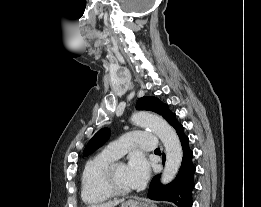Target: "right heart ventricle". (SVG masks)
I'll return each instance as SVG.
<instances>
[{
    "label": "right heart ventricle",
    "instance_id": "e07e8e85",
    "mask_svg": "<svg viewBox=\"0 0 261 207\" xmlns=\"http://www.w3.org/2000/svg\"><path fill=\"white\" fill-rule=\"evenodd\" d=\"M116 159L102 151L86 162L81 174V197L85 203L94 205L110 199L111 195L104 187L103 175L107 166Z\"/></svg>",
    "mask_w": 261,
    "mask_h": 207
}]
</instances>
